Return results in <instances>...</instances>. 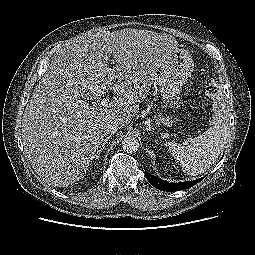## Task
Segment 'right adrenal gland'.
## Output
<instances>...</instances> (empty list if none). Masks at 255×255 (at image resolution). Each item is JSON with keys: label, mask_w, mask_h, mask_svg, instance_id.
<instances>
[{"label": "right adrenal gland", "mask_w": 255, "mask_h": 255, "mask_svg": "<svg viewBox=\"0 0 255 255\" xmlns=\"http://www.w3.org/2000/svg\"><path fill=\"white\" fill-rule=\"evenodd\" d=\"M110 139V136L106 137L103 139L102 141V144L100 145V149L97 151V154H95L94 158L95 157H99L105 147V143Z\"/></svg>", "instance_id": "right-adrenal-gland-1"}]
</instances>
